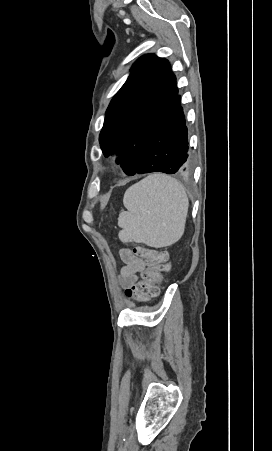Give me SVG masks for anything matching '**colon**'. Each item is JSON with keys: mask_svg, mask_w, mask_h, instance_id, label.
<instances>
[{"mask_svg": "<svg viewBox=\"0 0 272 451\" xmlns=\"http://www.w3.org/2000/svg\"><path fill=\"white\" fill-rule=\"evenodd\" d=\"M132 258H144L152 264L151 268L143 274H140L137 282L125 292L127 299H134L145 302L152 296L156 295L160 286L161 277L158 269L165 273L171 269L168 262L169 255L167 252L158 249H132Z\"/></svg>", "mask_w": 272, "mask_h": 451, "instance_id": "5ec220e1", "label": "colon"}]
</instances>
